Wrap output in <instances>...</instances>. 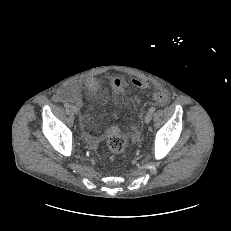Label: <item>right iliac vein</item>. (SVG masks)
I'll return each instance as SVG.
<instances>
[{
    "instance_id": "right-iliac-vein-1",
    "label": "right iliac vein",
    "mask_w": 231,
    "mask_h": 231,
    "mask_svg": "<svg viewBox=\"0 0 231 231\" xmlns=\"http://www.w3.org/2000/svg\"><path fill=\"white\" fill-rule=\"evenodd\" d=\"M69 109L72 113L77 114L78 113V108L75 105H70Z\"/></svg>"
}]
</instances>
